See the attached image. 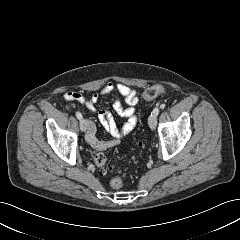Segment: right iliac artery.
Listing matches in <instances>:
<instances>
[{"instance_id": "82829eb1", "label": "right iliac artery", "mask_w": 240, "mask_h": 240, "mask_svg": "<svg viewBox=\"0 0 240 240\" xmlns=\"http://www.w3.org/2000/svg\"><path fill=\"white\" fill-rule=\"evenodd\" d=\"M76 117L80 120L82 119V114L80 112H76Z\"/></svg>"}]
</instances>
